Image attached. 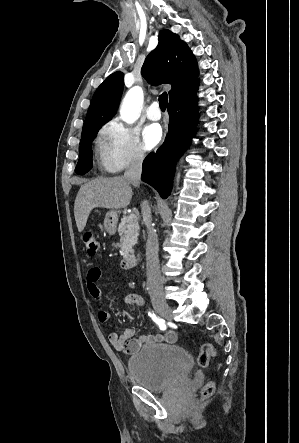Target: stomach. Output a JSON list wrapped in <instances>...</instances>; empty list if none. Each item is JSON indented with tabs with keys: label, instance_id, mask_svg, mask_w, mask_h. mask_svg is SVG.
I'll return each mask as SVG.
<instances>
[{
	"label": "stomach",
	"instance_id": "0dacf381",
	"mask_svg": "<svg viewBox=\"0 0 299 443\" xmlns=\"http://www.w3.org/2000/svg\"><path fill=\"white\" fill-rule=\"evenodd\" d=\"M117 223H118L117 212L114 210L107 212L104 219V228L110 235L115 234Z\"/></svg>",
	"mask_w": 299,
	"mask_h": 443
}]
</instances>
